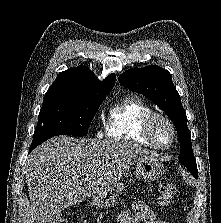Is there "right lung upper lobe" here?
Listing matches in <instances>:
<instances>
[{
    "label": "right lung upper lobe",
    "mask_w": 221,
    "mask_h": 223,
    "mask_svg": "<svg viewBox=\"0 0 221 223\" xmlns=\"http://www.w3.org/2000/svg\"><path fill=\"white\" fill-rule=\"evenodd\" d=\"M115 75H109L102 82L96 79L84 66L60 72L43 102L105 98L115 83Z\"/></svg>",
    "instance_id": "obj_1"
}]
</instances>
